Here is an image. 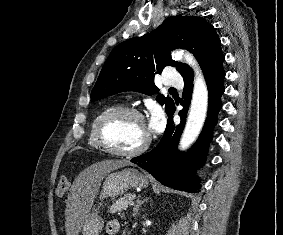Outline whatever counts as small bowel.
<instances>
[{
    "label": "small bowel",
    "mask_w": 283,
    "mask_h": 235,
    "mask_svg": "<svg viewBox=\"0 0 283 235\" xmlns=\"http://www.w3.org/2000/svg\"><path fill=\"white\" fill-rule=\"evenodd\" d=\"M121 224L118 220H110L107 224V231L111 235H115L120 231Z\"/></svg>",
    "instance_id": "obj_1"
}]
</instances>
